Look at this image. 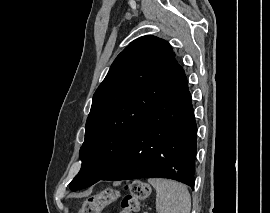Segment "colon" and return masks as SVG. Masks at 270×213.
Wrapping results in <instances>:
<instances>
[{
  "label": "colon",
  "mask_w": 270,
  "mask_h": 213,
  "mask_svg": "<svg viewBox=\"0 0 270 213\" xmlns=\"http://www.w3.org/2000/svg\"><path fill=\"white\" fill-rule=\"evenodd\" d=\"M150 192L151 188L147 183L140 180L132 181L128 186V192L121 199L119 213H138L141 203L148 198ZM116 197L117 193L114 190L106 189L88 197L78 213H101Z\"/></svg>",
  "instance_id": "obj_1"
}]
</instances>
